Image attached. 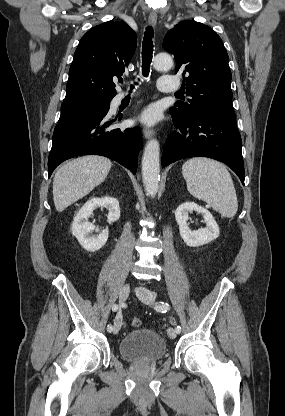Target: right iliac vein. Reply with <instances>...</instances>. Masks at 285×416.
<instances>
[{
    "label": "right iliac vein",
    "mask_w": 285,
    "mask_h": 416,
    "mask_svg": "<svg viewBox=\"0 0 285 416\" xmlns=\"http://www.w3.org/2000/svg\"><path fill=\"white\" fill-rule=\"evenodd\" d=\"M129 293H130V285H129V283H126L125 285H123L121 287L120 295H119V301L121 303L125 302L127 300L128 296H129ZM121 325H122V316H121V314H119L116 317L115 321H114V326H113V329H112L114 334L119 332V330L121 328Z\"/></svg>",
    "instance_id": "obj_1"
}]
</instances>
